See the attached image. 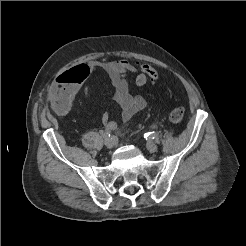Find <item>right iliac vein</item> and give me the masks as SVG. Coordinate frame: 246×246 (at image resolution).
Segmentation results:
<instances>
[{
  "label": "right iliac vein",
  "instance_id": "63e3f726",
  "mask_svg": "<svg viewBox=\"0 0 246 246\" xmlns=\"http://www.w3.org/2000/svg\"><path fill=\"white\" fill-rule=\"evenodd\" d=\"M104 144L108 149H111L114 146V140L112 138H106Z\"/></svg>",
  "mask_w": 246,
  "mask_h": 246
}]
</instances>
